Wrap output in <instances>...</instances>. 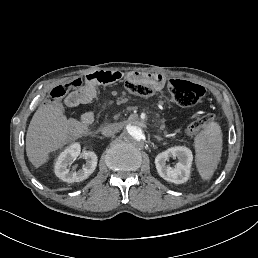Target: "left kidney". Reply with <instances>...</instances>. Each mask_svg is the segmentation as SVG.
Masks as SVG:
<instances>
[{
	"label": "left kidney",
	"mask_w": 258,
	"mask_h": 258,
	"mask_svg": "<svg viewBox=\"0 0 258 258\" xmlns=\"http://www.w3.org/2000/svg\"><path fill=\"white\" fill-rule=\"evenodd\" d=\"M169 157H177L180 160L176 167L166 165V160ZM192 162V151L185 146L170 147L155 159V165L159 175L163 179L176 184H184L190 179Z\"/></svg>",
	"instance_id": "obj_1"
}]
</instances>
